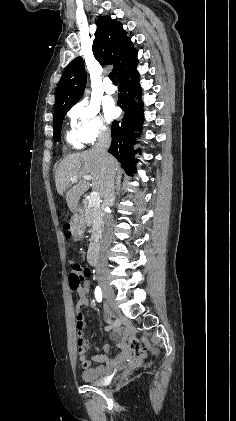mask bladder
<instances>
[{
	"mask_svg": "<svg viewBox=\"0 0 236 421\" xmlns=\"http://www.w3.org/2000/svg\"><path fill=\"white\" fill-rule=\"evenodd\" d=\"M88 382L90 383V385L99 384L100 379L90 377V378H88Z\"/></svg>",
	"mask_w": 236,
	"mask_h": 421,
	"instance_id": "obj_1",
	"label": "bladder"
}]
</instances>
